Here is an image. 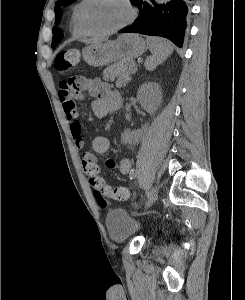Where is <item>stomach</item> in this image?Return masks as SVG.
<instances>
[{"label": "stomach", "instance_id": "obj_1", "mask_svg": "<svg viewBox=\"0 0 245 300\" xmlns=\"http://www.w3.org/2000/svg\"><path fill=\"white\" fill-rule=\"evenodd\" d=\"M146 48V42L138 34H122L114 41L87 46L82 50V56L88 65L101 67L138 57Z\"/></svg>", "mask_w": 245, "mask_h": 300}]
</instances>
